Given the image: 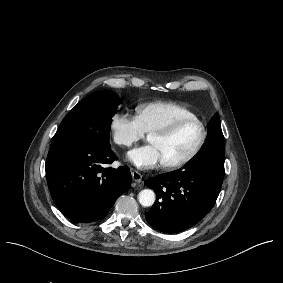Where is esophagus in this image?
Returning a JSON list of instances; mask_svg holds the SVG:
<instances>
[{"label": "esophagus", "mask_w": 283, "mask_h": 283, "mask_svg": "<svg viewBox=\"0 0 283 283\" xmlns=\"http://www.w3.org/2000/svg\"><path fill=\"white\" fill-rule=\"evenodd\" d=\"M131 175H132L133 181H135L137 183H140L142 181V175L138 171L133 170L131 172Z\"/></svg>", "instance_id": "obj_1"}]
</instances>
